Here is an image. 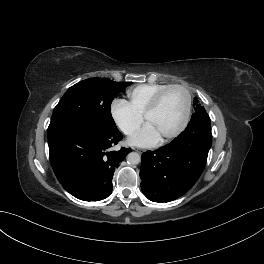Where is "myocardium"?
<instances>
[{
  "instance_id": "myocardium-1",
  "label": "myocardium",
  "mask_w": 264,
  "mask_h": 264,
  "mask_svg": "<svg viewBox=\"0 0 264 264\" xmlns=\"http://www.w3.org/2000/svg\"><path fill=\"white\" fill-rule=\"evenodd\" d=\"M173 89H179V90L183 91L185 94L186 102H185L184 114H183V118H182L179 126L173 132L162 137L163 142H166V141H169V140L176 138L186 128L188 121H189V118H190L191 104H192V99H191V95H190L189 90L185 86L180 85V84L169 85V86L165 87L164 89H162L161 91H159L155 95V97L152 99V101L150 102V104L148 105V107L146 108V110L143 113V119L146 121L148 116L150 114H152L159 107L164 96L170 90H173Z\"/></svg>"
}]
</instances>
